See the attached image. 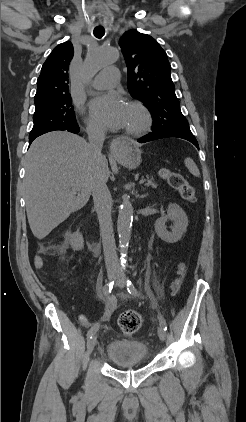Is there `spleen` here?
I'll use <instances>...</instances> for the list:
<instances>
[{
  "label": "spleen",
  "mask_w": 246,
  "mask_h": 422,
  "mask_svg": "<svg viewBox=\"0 0 246 422\" xmlns=\"http://www.w3.org/2000/svg\"><path fill=\"white\" fill-rule=\"evenodd\" d=\"M184 163L192 175L196 177L200 176V171L198 167L196 166L195 162L191 158L189 157L185 158Z\"/></svg>",
  "instance_id": "obj_1"
}]
</instances>
